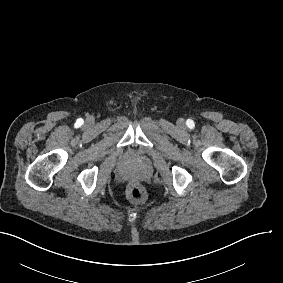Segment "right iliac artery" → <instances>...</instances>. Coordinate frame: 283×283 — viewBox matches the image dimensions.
<instances>
[{"label": "right iliac artery", "instance_id": "right-iliac-artery-1", "mask_svg": "<svg viewBox=\"0 0 283 283\" xmlns=\"http://www.w3.org/2000/svg\"><path fill=\"white\" fill-rule=\"evenodd\" d=\"M83 124V120L82 119H78L76 122V125L81 126Z\"/></svg>", "mask_w": 283, "mask_h": 283}]
</instances>
